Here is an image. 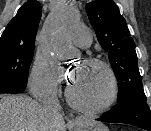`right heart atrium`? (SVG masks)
I'll return each instance as SVG.
<instances>
[{
	"label": "right heart atrium",
	"instance_id": "1",
	"mask_svg": "<svg viewBox=\"0 0 151 131\" xmlns=\"http://www.w3.org/2000/svg\"><path fill=\"white\" fill-rule=\"evenodd\" d=\"M31 93L38 98L52 95L55 92L54 73L48 57L37 54L29 76Z\"/></svg>",
	"mask_w": 151,
	"mask_h": 131
}]
</instances>
